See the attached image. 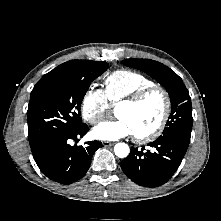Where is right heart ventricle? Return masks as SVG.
<instances>
[{
  "instance_id": "right-heart-ventricle-1",
  "label": "right heart ventricle",
  "mask_w": 221,
  "mask_h": 221,
  "mask_svg": "<svg viewBox=\"0 0 221 221\" xmlns=\"http://www.w3.org/2000/svg\"><path fill=\"white\" fill-rule=\"evenodd\" d=\"M154 85L145 75L131 70H116L104 79L103 93L109 104L115 105L136 92Z\"/></svg>"
}]
</instances>
